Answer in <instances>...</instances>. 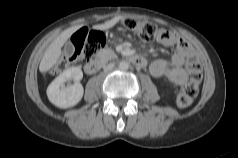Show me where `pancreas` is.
Instances as JSON below:
<instances>
[{"instance_id": "cf45deb5", "label": "pancreas", "mask_w": 238, "mask_h": 158, "mask_svg": "<svg viewBox=\"0 0 238 158\" xmlns=\"http://www.w3.org/2000/svg\"><path fill=\"white\" fill-rule=\"evenodd\" d=\"M97 56L99 58L108 60V59L114 58L116 54L111 48H104L98 52Z\"/></svg>"}]
</instances>
